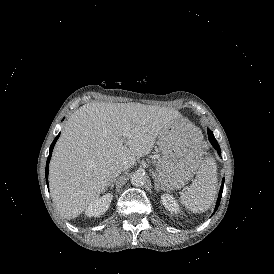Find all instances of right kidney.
Returning <instances> with one entry per match:
<instances>
[{
	"instance_id": "right-kidney-1",
	"label": "right kidney",
	"mask_w": 274,
	"mask_h": 274,
	"mask_svg": "<svg viewBox=\"0 0 274 274\" xmlns=\"http://www.w3.org/2000/svg\"><path fill=\"white\" fill-rule=\"evenodd\" d=\"M111 200V194H107L98 199H95L94 201L89 203L88 208L86 209V215L89 217L101 215L102 213L107 211Z\"/></svg>"
}]
</instances>
